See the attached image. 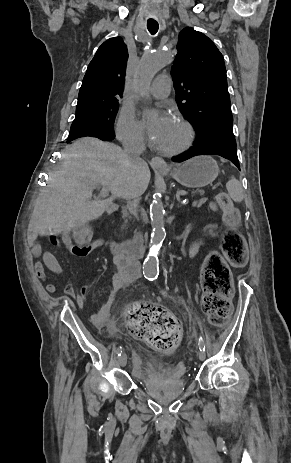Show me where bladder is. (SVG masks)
I'll return each instance as SVG.
<instances>
[{
  "instance_id": "31cf9c89",
  "label": "bladder",
  "mask_w": 291,
  "mask_h": 463,
  "mask_svg": "<svg viewBox=\"0 0 291 463\" xmlns=\"http://www.w3.org/2000/svg\"><path fill=\"white\" fill-rule=\"evenodd\" d=\"M137 361L139 362V364L145 363L144 357H142L140 355H138ZM140 381L145 385L153 384V379H151L149 377L140 378ZM173 385L181 387V386L184 385V381L183 380H178V381L174 382Z\"/></svg>"
}]
</instances>
